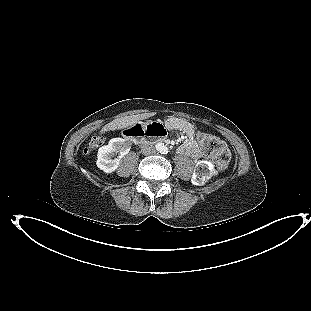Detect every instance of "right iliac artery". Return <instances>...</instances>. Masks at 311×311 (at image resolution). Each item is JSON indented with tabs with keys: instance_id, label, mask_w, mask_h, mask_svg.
<instances>
[{
	"instance_id": "obj_1",
	"label": "right iliac artery",
	"mask_w": 311,
	"mask_h": 311,
	"mask_svg": "<svg viewBox=\"0 0 311 311\" xmlns=\"http://www.w3.org/2000/svg\"><path fill=\"white\" fill-rule=\"evenodd\" d=\"M156 146H157V148H159V149L162 148L161 144H158V145H156Z\"/></svg>"
}]
</instances>
